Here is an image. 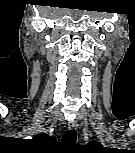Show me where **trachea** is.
Instances as JSON below:
<instances>
[{"label":"trachea","instance_id":"1","mask_svg":"<svg viewBox=\"0 0 135 153\" xmlns=\"http://www.w3.org/2000/svg\"><path fill=\"white\" fill-rule=\"evenodd\" d=\"M63 143L71 145L76 141V131L74 129H70L64 132L63 135Z\"/></svg>","mask_w":135,"mask_h":153}]
</instances>
